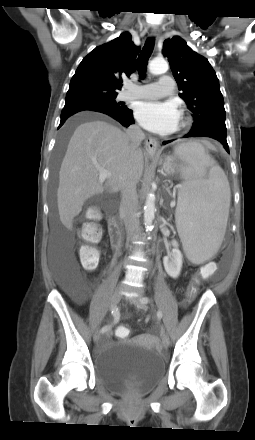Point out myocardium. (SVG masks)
<instances>
[{
	"label": "myocardium",
	"instance_id": "f54148a6",
	"mask_svg": "<svg viewBox=\"0 0 255 440\" xmlns=\"http://www.w3.org/2000/svg\"><path fill=\"white\" fill-rule=\"evenodd\" d=\"M187 126H188V121L185 120V119H182V120H181V123H180V125H179V129H180V130H183V129H185Z\"/></svg>",
	"mask_w": 255,
	"mask_h": 440
}]
</instances>
